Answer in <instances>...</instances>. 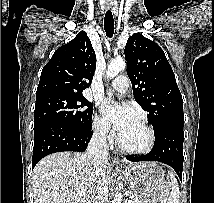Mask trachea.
Returning a JSON list of instances; mask_svg holds the SVG:
<instances>
[{"instance_id":"obj_1","label":"trachea","mask_w":214,"mask_h":203,"mask_svg":"<svg viewBox=\"0 0 214 203\" xmlns=\"http://www.w3.org/2000/svg\"><path fill=\"white\" fill-rule=\"evenodd\" d=\"M104 29L107 37L112 38L114 33V18L110 10H108L105 14Z\"/></svg>"}]
</instances>
